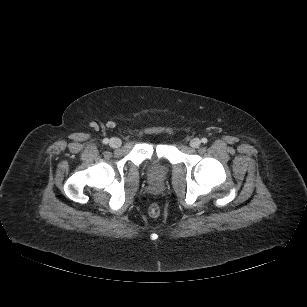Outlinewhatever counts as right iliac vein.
<instances>
[{"mask_svg": "<svg viewBox=\"0 0 307 307\" xmlns=\"http://www.w3.org/2000/svg\"><path fill=\"white\" fill-rule=\"evenodd\" d=\"M122 144V141L119 138H111L109 141V145L112 148H119Z\"/></svg>", "mask_w": 307, "mask_h": 307, "instance_id": "obj_1", "label": "right iliac vein"}]
</instances>
